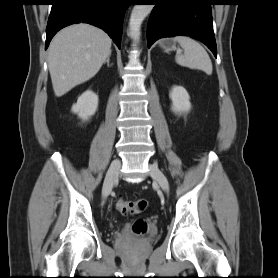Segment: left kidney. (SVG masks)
<instances>
[{
  "label": "left kidney",
  "mask_w": 278,
  "mask_h": 278,
  "mask_svg": "<svg viewBox=\"0 0 278 278\" xmlns=\"http://www.w3.org/2000/svg\"><path fill=\"white\" fill-rule=\"evenodd\" d=\"M172 110L175 113L188 112L191 109L190 96L182 86H173L170 92Z\"/></svg>",
  "instance_id": "1"
}]
</instances>
